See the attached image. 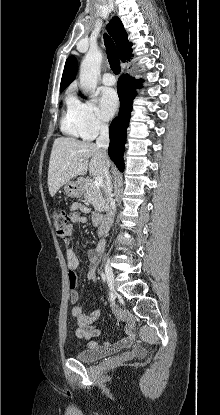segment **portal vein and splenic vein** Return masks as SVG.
Wrapping results in <instances>:
<instances>
[{
  "label": "portal vein and splenic vein",
  "mask_w": 220,
  "mask_h": 415,
  "mask_svg": "<svg viewBox=\"0 0 220 415\" xmlns=\"http://www.w3.org/2000/svg\"><path fill=\"white\" fill-rule=\"evenodd\" d=\"M94 184L97 188H100L103 185V178L100 176L95 177Z\"/></svg>",
  "instance_id": "obj_1"
}]
</instances>
